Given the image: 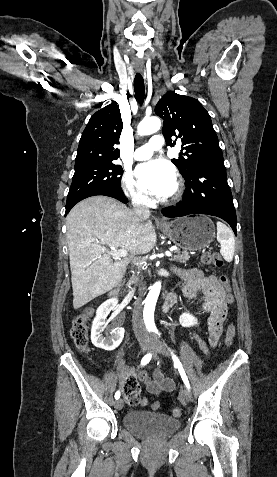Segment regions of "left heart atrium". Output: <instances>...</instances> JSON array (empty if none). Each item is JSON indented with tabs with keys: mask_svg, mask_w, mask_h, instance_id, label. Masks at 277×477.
<instances>
[{
	"mask_svg": "<svg viewBox=\"0 0 277 477\" xmlns=\"http://www.w3.org/2000/svg\"><path fill=\"white\" fill-rule=\"evenodd\" d=\"M135 173L141 186L159 198H166L175 190L176 172L165 160L143 163L136 168Z\"/></svg>",
	"mask_w": 277,
	"mask_h": 477,
	"instance_id": "obj_1",
	"label": "left heart atrium"
}]
</instances>
